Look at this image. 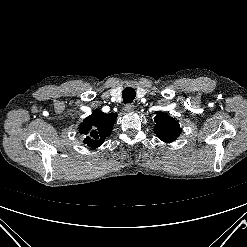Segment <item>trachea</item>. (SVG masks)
I'll use <instances>...</instances> for the list:
<instances>
[{"label":"trachea","instance_id":"obj_1","mask_svg":"<svg viewBox=\"0 0 247 247\" xmlns=\"http://www.w3.org/2000/svg\"><path fill=\"white\" fill-rule=\"evenodd\" d=\"M136 96V92L132 87H127L122 92L123 102L131 103Z\"/></svg>","mask_w":247,"mask_h":247}]
</instances>
